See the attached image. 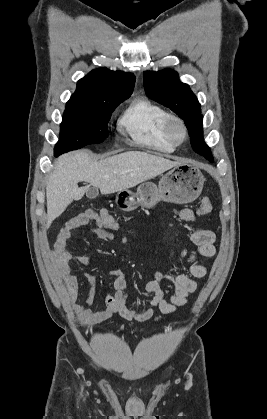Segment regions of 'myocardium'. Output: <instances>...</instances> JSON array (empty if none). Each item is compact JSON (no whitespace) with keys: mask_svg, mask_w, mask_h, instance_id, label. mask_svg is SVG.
<instances>
[{"mask_svg":"<svg viewBox=\"0 0 267 419\" xmlns=\"http://www.w3.org/2000/svg\"><path fill=\"white\" fill-rule=\"evenodd\" d=\"M178 125L182 130V138L176 139L172 129ZM163 134L165 138L174 146H179L185 142L188 136V129L185 121L175 113H168L163 123Z\"/></svg>","mask_w":267,"mask_h":419,"instance_id":"myocardium-1","label":"myocardium"}]
</instances>
